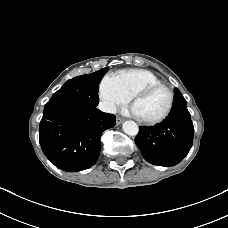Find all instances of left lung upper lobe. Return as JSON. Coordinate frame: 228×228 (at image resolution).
I'll use <instances>...</instances> for the list:
<instances>
[{
	"label": "left lung upper lobe",
	"instance_id": "obj_1",
	"mask_svg": "<svg viewBox=\"0 0 228 228\" xmlns=\"http://www.w3.org/2000/svg\"><path fill=\"white\" fill-rule=\"evenodd\" d=\"M179 91L178 89H175V92Z\"/></svg>",
	"mask_w": 228,
	"mask_h": 228
}]
</instances>
